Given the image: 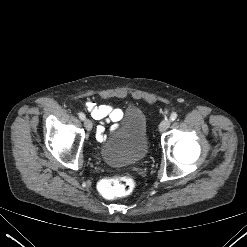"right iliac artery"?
I'll list each match as a JSON object with an SVG mask.
<instances>
[{"instance_id": "82829eb1", "label": "right iliac artery", "mask_w": 247, "mask_h": 247, "mask_svg": "<svg viewBox=\"0 0 247 247\" xmlns=\"http://www.w3.org/2000/svg\"><path fill=\"white\" fill-rule=\"evenodd\" d=\"M79 118H80L81 120H84V119H85V114L82 113V112H80V113H79Z\"/></svg>"}]
</instances>
